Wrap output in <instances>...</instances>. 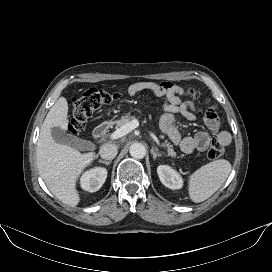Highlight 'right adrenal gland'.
Segmentation results:
<instances>
[{
	"mask_svg": "<svg viewBox=\"0 0 272 272\" xmlns=\"http://www.w3.org/2000/svg\"><path fill=\"white\" fill-rule=\"evenodd\" d=\"M99 162L100 163H103V164H105V165H110L111 164V161L109 160V161H106V160H99Z\"/></svg>",
	"mask_w": 272,
	"mask_h": 272,
	"instance_id": "2a0ac1e0",
	"label": "right adrenal gland"
}]
</instances>
